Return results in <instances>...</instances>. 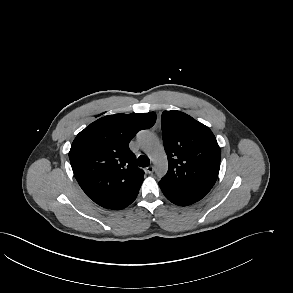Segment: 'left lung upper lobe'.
Returning <instances> with one entry per match:
<instances>
[{"instance_id": "left-lung-upper-lobe-1", "label": "left lung upper lobe", "mask_w": 293, "mask_h": 293, "mask_svg": "<svg viewBox=\"0 0 293 293\" xmlns=\"http://www.w3.org/2000/svg\"><path fill=\"white\" fill-rule=\"evenodd\" d=\"M162 137L169 168L160 182L205 196L214 186L221 152L211 130L180 111L162 113Z\"/></svg>"}]
</instances>
